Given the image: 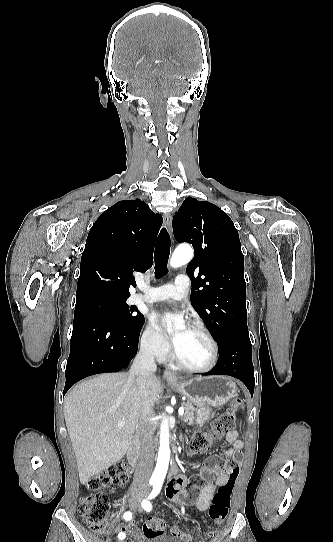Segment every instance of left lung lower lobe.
<instances>
[{"mask_svg":"<svg viewBox=\"0 0 333 542\" xmlns=\"http://www.w3.org/2000/svg\"><path fill=\"white\" fill-rule=\"evenodd\" d=\"M203 375H229L241 380L252 394L255 386L252 345L248 331L231 333L219 349L216 366Z\"/></svg>","mask_w":333,"mask_h":542,"instance_id":"left-lung-lower-lobe-1","label":"left lung lower lobe"}]
</instances>
